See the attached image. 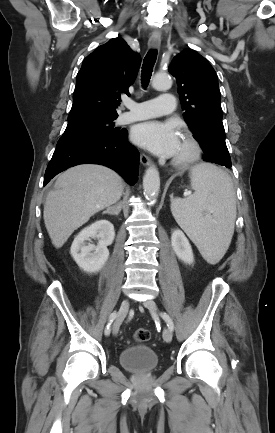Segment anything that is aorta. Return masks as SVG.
Here are the masks:
<instances>
[{
  "instance_id": "762f6f07",
  "label": "aorta",
  "mask_w": 275,
  "mask_h": 433,
  "mask_svg": "<svg viewBox=\"0 0 275 433\" xmlns=\"http://www.w3.org/2000/svg\"><path fill=\"white\" fill-rule=\"evenodd\" d=\"M172 80L168 74H156L152 80V86L156 90H167L171 87ZM144 194L149 198H155L160 190V176L155 167L146 170L143 177Z\"/></svg>"
}]
</instances>
